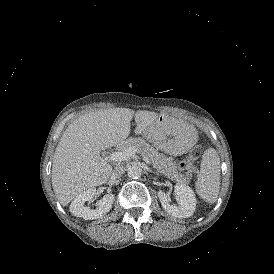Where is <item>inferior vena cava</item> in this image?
Wrapping results in <instances>:
<instances>
[{
  "label": "inferior vena cava",
  "mask_w": 274,
  "mask_h": 274,
  "mask_svg": "<svg viewBox=\"0 0 274 274\" xmlns=\"http://www.w3.org/2000/svg\"><path fill=\"white\" fill-rule=\"evenodd\" d=\"M125 172H126V167L117 165L112 171V177L115 179H119L122 177V175L125 174Z\"/></svg>",
  "instance_id": "obj_1"
}]
</instances>
